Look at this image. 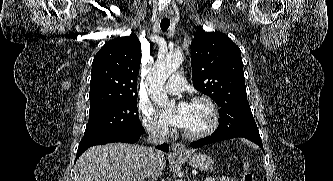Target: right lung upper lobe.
<instances>
[{
	"label": "right lung upper lobe",
	"instance_id": "obj_1",
	"mask_svg": "<svg viewBox=\"0 0 333 181\" xmlns=\"http://www.w3.org/2000/svg\"><path fill=\"white\" fill-rule=\"evenodd\" d=\"M140 62L141 44L135 34L107 42L93 60L90 108L137 98Z\"/></svg>",
	"mask_w": 333,
	"mask_h": 181
}]
</instances>
